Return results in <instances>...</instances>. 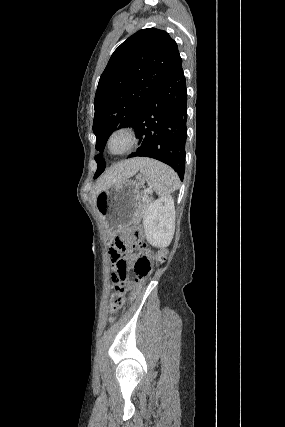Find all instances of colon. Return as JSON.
I'll return each mask as SVG.
<instances>
[{
	"instance_id": "obj_1",
	"label": "colon",
	"mask_w": 285,
	"mask_h": 427,
	"mask_svg": "<svg viewBox=\"0 0 285 427\" xmlns=\"http://www.w3.org/2000/svg\"><path fill=\"white\" fill-rule=\"evenodd\" d=\"M126 186H129V184H126ZM126 251H132L137 254L131 267L134 279L128 281L126 269L129 267V264L127 262L124 260L116 262L118 274H113L112 276L115 292L110 301L111 313H115L123 308L125 294L128 290H131V293L135 295L139 287L147 281L152 270V261L162 263L165 261L167 255L165 249H160L152 255L147 244L142 241L141 232L138 228L128 230L115 239L113 254L120 255Z\"/></svg>"
}]
</instances>
